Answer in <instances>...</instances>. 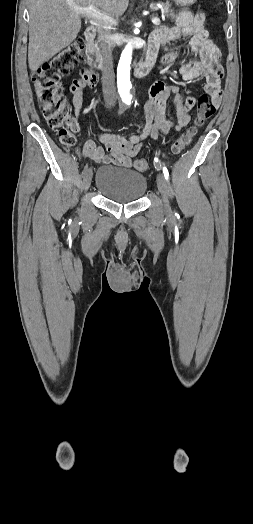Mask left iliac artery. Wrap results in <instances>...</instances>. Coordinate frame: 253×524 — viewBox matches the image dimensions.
Masks as SVG:
<instances>
[{"label": "left iliac artery", "instance_id": "44dca946", "mask_svg": "<svg viewBox=\"0 0 253 524\" xmlns=\"http://www.w3.org/2000/svg\"><path fill=\"white\" fill-rule=\"evenodd\" d=\"M163 173H164V176H165L166 180H168L169 179V173H168V170H167L166 167H163Z\"/></svg>", "mask_w": 253, "mask_h": 524}]
</instances>
